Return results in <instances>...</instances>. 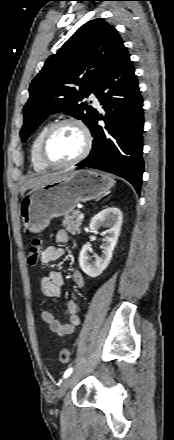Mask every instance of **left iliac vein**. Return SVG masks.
I'll return each mask as SVG.
<instances>
[{
    "instance_id": "1",
    "label": "left iliac vein",
    "mask_w": 174,
    "mask_h": 440,
    "mask_svg": "<svg viewBox=\"0 0 174 440\" xmlns=\"http://www.w3.org/2000/svg\"><path fill=\"white\" fill-rule=\"evenodd\" d=\"M71 381H72V376H69L63 380V382L61 383V386L59 388V391H58L59 398H62L64 396V394L66 393V391L69 389V387L71 385Z\"/></svg>"
}]
</instances>
